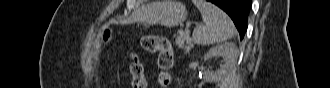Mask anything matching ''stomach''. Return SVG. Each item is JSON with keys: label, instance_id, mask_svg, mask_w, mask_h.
<instances>
[{"label": "stomach", "instance_id": "1", "mask_svg": "<svg viewBox=\"0 0 330 88\" xmlns=\"http://www.w3.org/2000/svg\"><path fill=\"white\" fill-rule=\"evenodd\" d=\"M148 17L142 21L144 27L159 24L165 27H176L183 23L188 11L177 1L164 0L153 3ZM114 31L110 25H103L99 29V39L103 44H108L113 39Z\"/></svg>", "mask_w": 330, "mask_h": 88}]
</instances>
